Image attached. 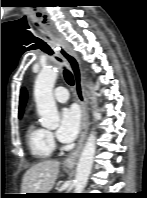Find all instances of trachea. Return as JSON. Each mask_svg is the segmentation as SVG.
Returning a JSON list of instances; mask_svg holds the SVG:
<instances>
[{"instance_id": "1", "label": "trachea", "mask_w": 147, "mask_h": 198, "mask_svg": "<svg viewBox=\"0 0 147 198\" xmlns=\"http://www.w3.org/2000/svg\"><path fill=\"white\" fill-rule=\"evenodd\" d=\"M44 50H45L49 55L54 54L53 50H52L50 47H48V46H47V47H44ZM56 59H57L58 61H61V59L58 58V57H57ZM63 74H64V78H65L66 82H67L69 85L73 86V85H74V78H73L72 73H71L68 69L64 68Z\"/></svg>"}]
</instances>
